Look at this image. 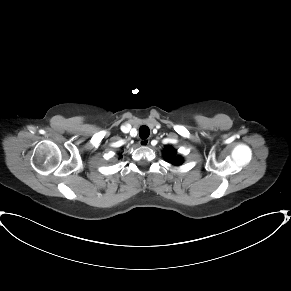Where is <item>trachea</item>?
<instances>
[{"instance_id": "trachea-1", "label": "trachea", "mask_w": 291, "mask_h": 291, "mask_svg": "<svg viewBox=\"0 0 291 291\" xmlns=\"http://www.w3.org/2000/svg\"><path fill=\"white\" fill-rule=\"evenodd\" d=\"M150 134V130L147 126H141L139 129V136L141 139H146Z\"/></svg>"}]
</instances>
